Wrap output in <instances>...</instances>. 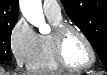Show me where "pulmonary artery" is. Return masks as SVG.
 <instances>
[{
  "mask_svg": "<svg viewBox=\"0 0 107 75\" xmlns=\"http://www.w3.org/2000/svg\"><path fill=\"white\" fill-rule=\"evenodd\" d=\"M43 10L47 16L62 18L61 7L55 0H45L43 2Z\"/></svg>",
  "mask_w": 107,
  "mask_h": 75,
  "instance_id": "obj_1",
  "label": "pulmonary artery"
}]
</instances>
